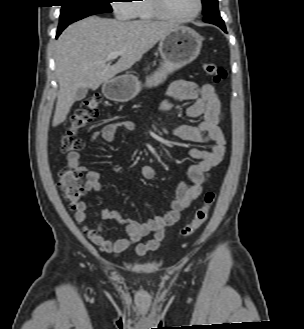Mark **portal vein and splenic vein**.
<instances>
[{
  "mask_svg": "<svg viewBox=\"0 0 304 329\" xmlns=\"http://www.w3.org/2000/svg\"><path fill=\"white\" fill-rule=\"evenodd\" d=\"M121 52H113V53H110L107 58H106V61H112V60H115L117 59L119 56H121Z\"/></svg>",
  "mask_w": 304,
  "mask_h": 329,
  "instance_id": "portal-vein-and-splenic-vein-1",
  "label": "portal vein and splenic vein"
}]
</instances>
